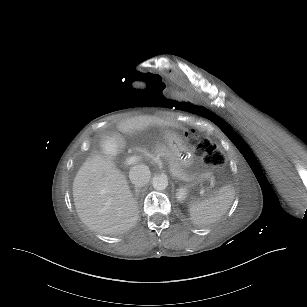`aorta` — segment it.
<instances>
[{
	"label": "aorta",
	"mask_w": 307,
	"mask_h": 307,
	"mask_svg": "<svg viewBox=\"0 0 307 307\" xmlns=\"http://www.w3.org/2000/svg\"><path fill=\"white\" fill-rule=\"evenodd\" d=\"M152 186L156 191H163L168 187V179L164 175L153 177Z\"/></svg>",
	"instance_id": "762f6f07"
}]
</instances>
